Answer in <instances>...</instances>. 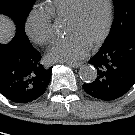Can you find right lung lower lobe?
Returning a JSON list of instances; mask_svg holds the SVG:
<instances>
[{
  "label": "right lung lower lobe",
  "instance_id": "obj_1",
  "mask_svg": "<svg viewBox=\"0 0 135 135\" xmlns=\"http://www.w3.org/2000/svg\"><path fill=\"white\" fill-rule=\"evenodd\" d=\"M41 54L24 30L17 28L13 40L0 45V93L15 103L36 100L46 91L52 67L44 68Z\"/></svg>",
  "mask_w": 135,
  "mask_h": 135
}]
</instances>
